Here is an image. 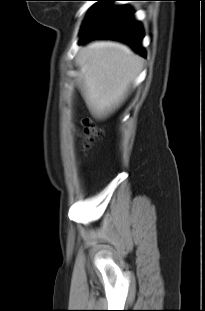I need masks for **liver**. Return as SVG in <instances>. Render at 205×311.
Listing matches in <instances>:
<instances>
[{
	"label": "liver",
	"instance_id": "6515ba94",
	"mask_svg": "<svg viewBox=\"0 0 205 311\" xmlns=\"http://www.w3.org/2000/svg\"><path fill=\"white\" fill-rule=\"evenodd\" d=\"M78 62L84 70L81 92L93 115L103 117L127 97L141 69V58L124 45L94 42L80 50Z\"/></svg>",
	"mask_w": 205,
	"mask_h": 311
}]
</instances>
